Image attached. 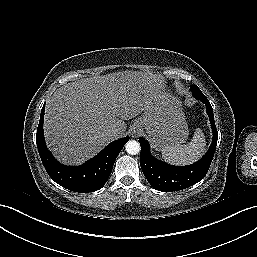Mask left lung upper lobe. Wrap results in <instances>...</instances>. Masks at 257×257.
I'll return each instance as SVG.
<instances>
[{
  "mask_svg": "<svg viewBox=\"0 0 257 257\" xmlns=\"http://www.w3.org/2000/svg\"><path fill=\"white\" fill-rule=\"evenodd\" d=\"M191 91L193 95L203 94L196 85H191Z\"/></svg>",
  "mask_w": 257,
  "mask_h": 257,
  "instance_id": "left-lung-upper-lobe-1",
  "label": "left lung upper lobe"
}]
</instances>
